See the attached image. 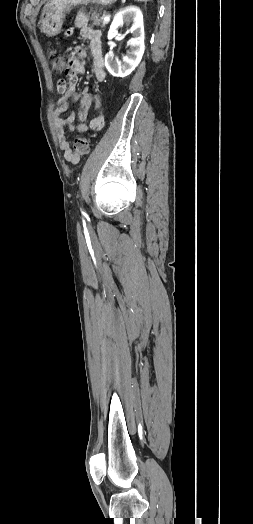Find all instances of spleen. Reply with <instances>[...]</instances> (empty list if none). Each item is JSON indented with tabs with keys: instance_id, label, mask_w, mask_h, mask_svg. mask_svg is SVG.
Wrapping results in <instances>:
<instances>
[{
	"instance_id": "spleen-1",
	"label": "spleen",
	"mask_w": 253,
	"mask_h": 524,
	"mask_svg": "<svg viewBox=\"0 0 253 524\" xmlns=\"http://www.w3.org/2000/svg\"><path fill=\"white\" fill-rule=\"evenodd\" d=\"M136 1H145L146 2V1H149V0H136Z\"/></svg>"
}]
</instances>
